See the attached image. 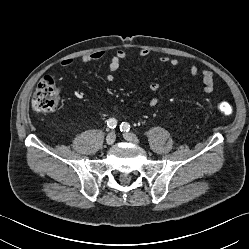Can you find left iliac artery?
Wrapping results in <instances>:
<instances>
[{
  "mask_svg": "<svg viewBox=\"0 0 249 249\" xmlns=\"http://www.w3.org/2000/svg\"><path fill=\"white\" fill-rule=\"evenodd\" d=\"M120 130L124 131V132H128L130 130V125L128 123H126V122H123L120 125Z\"/></svg>",
  "mask_w": 249,
  "mask_h": 249,
  "instance_id": "obj_1",
  "label": "left iliac artery"
}]
</instances>
